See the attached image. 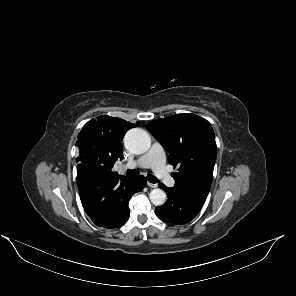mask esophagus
Returning a JSON list of instances; mask_svg holds the SVG:
<instances>
[{
	"label": "esophagus",
	"mask_w": 296,
	"mask_h": 296,
	"mask_svg": "<svg viewBox=\"0 0 296 296\" xmlns=\"http://www.w3.org/2000/svg\"><path fill=\"white\" fill-rule=\"evenodd\" d=\"M147 185L149 186V187H151V188H157V184H155V183H150V182H147Z\"/></svg>",
	"instance_id": "34e87169"
}]
</instances>
